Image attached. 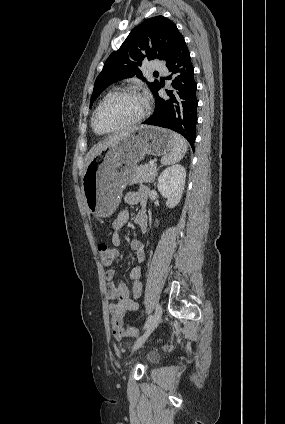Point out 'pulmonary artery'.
<instances>
[{
  "mask_svg": "<svg viewBox=\"0 0 285 424\" xmlns=\"http://www.w3.org/2000/svg\"><path fill=\"white\" fill-rule=\"evenodd\" d=\"M152 69L153 70H156L158 72H161V73H167L168 72L167 67L164 64H162V63H160L158 61H153L152 62Z\"/></svg>",
  "mask_w": 285,
  "mask_h": 424,
  "instance_id": "obj_1",
  "label": "pulmonary artery"
}]
</instances>
